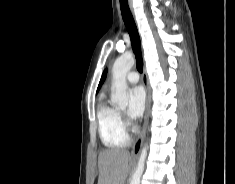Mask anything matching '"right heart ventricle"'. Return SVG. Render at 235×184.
Segmentation results:
<instances>
[{
	"mask_svg": "<svg viewBox=\"0 0 235 184\" xmlns=\"http://www.w3.org/2000/svg\"><path fill=\"white\" fill-rule=\"evenodd\" d=\"M96 123L100 139L105 146V154L121 151L130 143V136L125 130L118 111L102 102L96 111Z\"/></svg>",
	"mask_w": 235,
	"mask_h": 184,
	"instance_id": "1",
	"label": "right heart ventricle"
}]
</instances>
